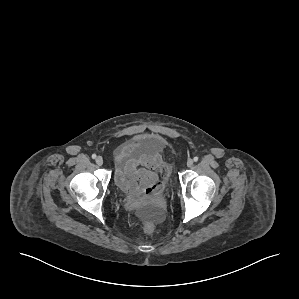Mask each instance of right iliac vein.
I'll return each instance as SVG.
<instances>
[{
    "label": "right iliac vein",
    "mask_w": 299,
    "mask_h": 299,
    "mask_svg": "<svg viewBox=\"0 0 299 299\" xmlns=\"http://www.w3.org/2000/svg\"><path fill=\"white\" fill-rule=\"evenodd\" d=\"M95 161H96V164L99 165V166H101L103 164V159L100 156L97 157Z\"/></svg>",
    "instance_id": "1"
}]
</instances>
